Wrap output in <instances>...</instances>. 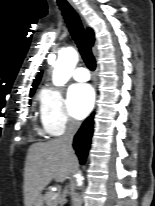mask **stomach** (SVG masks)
Masks as SVG:
<instances>
[{
    "label": "stomach",
    "mask_w": 155,
    "mask_h": 206,
    "mask_svg": "<svg viewBox=\"0 0 155 206\" xmlns=\"http://www.w3.org/2000/svg\"><path fill=\"white\" fill-rule=\"evenodd\" d=\"M33 206H43V198L41 195H39L37 197V199L35 200Z\"/></svg>",
    "instance_id": "obj_1"
}]
</instances>
